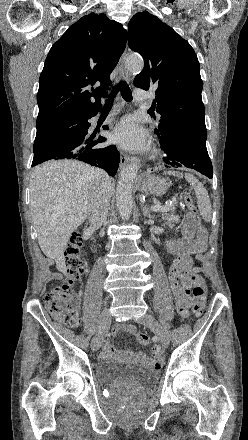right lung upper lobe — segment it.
Returning <instances> with one entry per match:
<instances>
[{
	"label": "right lung upper lobe",
	"instance_id": "1",
	"mask_svg": "<svg viewBox=\"0 0 248 440\" xmlns=\"http://www.w3.org/2000/svg\"><path fill=\"white\" fill-rule=\"evenodd\" d=\"M127 31L105 14L91 13L53 44L39 79L37 127L100 106L126 46ZM100 83L94 89L92 85Z\"/></svg>",
	"mask_w": 248,
	"mask_h": 440
}]
</instances>
